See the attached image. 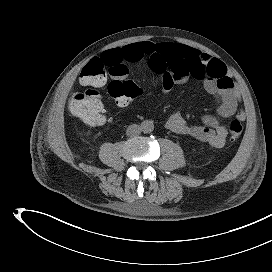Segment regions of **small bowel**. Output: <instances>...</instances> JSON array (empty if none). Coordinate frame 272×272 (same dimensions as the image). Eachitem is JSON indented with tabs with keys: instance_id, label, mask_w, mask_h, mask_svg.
Returning a JSON list of instances; mask_svg holds the SVG:
<instances>
[{
	"instance_id": "small-bowel-1",
	"label": "small bowel",
	"mask_w": 272,
	"mask_h": 272,
	"mask_svg": "<svg viewBox=\"0 0 272 272\" xmlns=\"http://www.w3.org/2000/svg\"><path fill=\"white\" fill-rule=\"evenodd\" d=\"M146 56L150 57L151 69L161 77L163 93H168L175 84L185 83L193 75L203 79L205 90L217 103L220 117L228 118L237 113L244 118V111L239 109L240 95L225 66L188 46L144 41L110 49L99 59L108 68L122 67L128 71V64L141 63ZM167 127L176 134L190 136L215 148L224 147L228 135L227 129L211 115L204 116L201 124L190 125L180 113H174L167 121Z\"/></svg>"
}]
</instances>
